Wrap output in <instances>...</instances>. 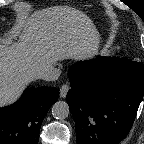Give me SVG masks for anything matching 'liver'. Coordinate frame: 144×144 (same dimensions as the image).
<instances>
[{
  "mask_svg": "<svg viewBox=\"0 0 144 144\" xmlns=\"http://www.w3.org/2000/svg\"><path fill=\"white\" fill-rule=\"evenodd\" d=\"M12 38L0 41V106L16 101L26 85L57 61L92 58L100 42L92 20L69 6L20 11Z\"/></svg>",
  "mask_w": 144,
  "mask_h": 144,
  "instance_id": "liver-1",
  "label": "liver"
}]
</instances>
